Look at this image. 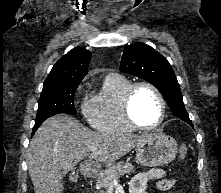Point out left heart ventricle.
<instances>
[{
  "label": "left heart ventricle",
  "instance_id": "1",
  "mask_svg": "<svg viewBox=\"0 0 221 193\" xmlns=\"http://www.w3.org/2000/svg\"><path fill=\"white\" fill-rule=\"evenodd\" d=\"M131 110L136 122L143 126L155 124L161 114V106L157 96L147 87H140L135 91Z\"/></svg>",
  "mask_w": 221,
  "mask_h": 193
}]
</instances>
